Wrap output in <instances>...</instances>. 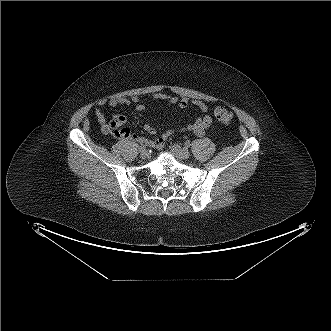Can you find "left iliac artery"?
Listing matches in <instances>:
<instances>
[{"label": "left iliac artery", "instance_id": "left-iliac-artery-1", "mask_svg": "<svg viewBox=\"0 0 331 331\" xmlns=\"http://www.w3.org/2000/svg\"><path fill=\"white\" fill-rule=\"evenodd\" d=\"M190 146H191V144H190L189 141L185 143V147H186V148H188V147H190Z\"/></svg>", "mask_w": 331, "mask_h": 331}]
</instances>
